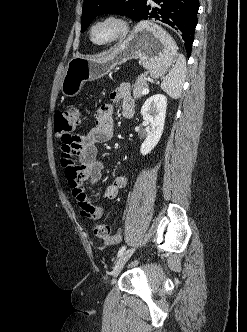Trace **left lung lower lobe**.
I'll list each match as a JSON object with an SVG mask.
<instances>
[{
    "label": "left lung lower lobe",
    "instance_id": "0a47b994",
    "mask_svg": "<svg viewBox=\"0 0 247 332\" xmlns=\"http://www.w3.org/2000/svg\"><path fill=\"white\" fill-rule=\"evenodd\" d=\"M198 9L199 0H147L140 20L155 18L177 30L190 56Z\"/></svg>",
    "mask_w": 247,
    "mask_h": 332
}]
</instances>
